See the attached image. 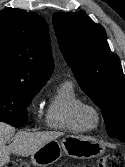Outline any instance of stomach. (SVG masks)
<instances>
[{"label": "stomach", "instance_id": "stomach-1", "mask_svg": "<svg viewBox=\"0 0 125 167\" xmlns=\"http://www.w3.org/2000/svg\"><path fill=\"white\" fill-rule=\"evenodd\" d=\"M105 147L98 141L85 136L68 135L60 141L52 140L31 155L32 163L45 167L59 160L63 154L79 159H89L102 155Z\"/></svg>", "mask_w": 125, "mask_h": 167}]
</instances>
